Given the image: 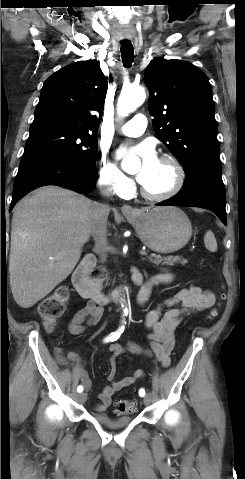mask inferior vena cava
<instances>
[{"mask_svg":"<svg viewBox=\"0 0 245 479\" xmlns=\"http://www.w3.org/2000/svg\"><path fill=\"white\" fill-rule=\"evenodd\" d=\"M99 191L105 198L111 196V188L107 183H98ZM110 212L108 203L91 202L89 207V220L91 234L94 238L100 259L105 261L109 250L107 241V219Z\"/></svg>","mask_w":245,"mask_h":479,"instance_id":"602c4592","label":"inferior vena cava"}]
</instances>
